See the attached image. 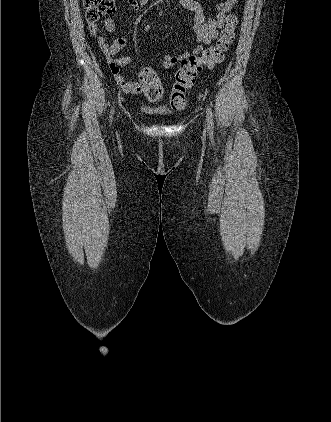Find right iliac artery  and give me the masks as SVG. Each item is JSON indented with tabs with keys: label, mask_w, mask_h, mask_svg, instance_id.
<instances>
[{
	"label": "right iliac artery",
	"mask_w": 331,
	"mask_h": 422,
	"mask_svg": "<svg viewBox=\"0 0 331 422\" xmlns=\"http://www.w3.org/2000/svg\"><path fill=\"white\" fill-rule=\"evenodd\" d=\"M113 112H114V109L112 108V110H111V120H112V114H113Z\"/></svg>",
	"instance_id": "1"
}]
</instances>
